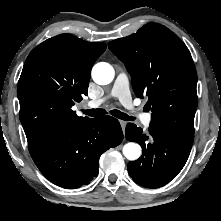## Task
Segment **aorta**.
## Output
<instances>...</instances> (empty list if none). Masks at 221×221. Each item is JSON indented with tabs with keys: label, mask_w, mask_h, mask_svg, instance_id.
Listing matches in <instances>:
<instances>
[{
	"label": "aorta",
	"mask_w": 221,
	"mask_h": 221,
	"mask_svg": "<svg viewBox=\"0 0 221 221\" xmlns=\"http://www.w3.org/2000/svg\"><path fill=\"white\" fill-rule=\"evenodd\" d=\"M113 67L105 62H100L94 65L92 69V78L99 85H107L114 78ZM123 154L128 160H137L141 155V147L137 143L129 142L123 147Z\"/></svg>",
	"instance_id": "aorta-1"
}]
</instances>
